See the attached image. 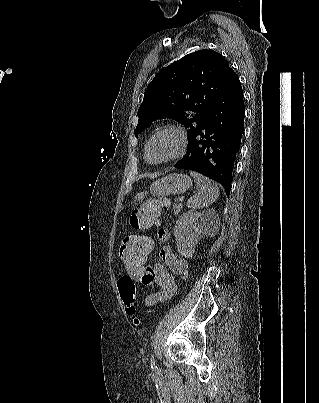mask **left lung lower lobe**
<instances>
[{"mask_svg": "<svg viewBox=\"0 0 319 403\" xmlns=\"http://www.w3.org/2000/svg\"><path fill=\"white\" fill-rule=\"evenodd\" d=\"M244 117L242 87L231 69L175 168L199 172L220 183L229 195Z\"/></svg>", "mask_w": 319, "mask_h": 403, "instance_id": "0a47b994", "label": "left lung lower lobe"}]
</instances>
